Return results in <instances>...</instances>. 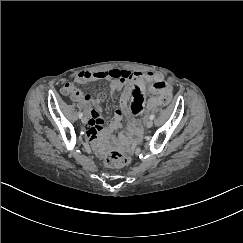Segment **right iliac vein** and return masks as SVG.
Instances as JSON below:
<instances>
[{"label": "right iliac vein", "instance_id": "right-iliac-vein-1", "mask_svg": "<svg viewBox=\"0 0 243 243\" xmlns=\"http://www.w3.org/2000/svg\"><path fill=\"white\" fill-rule=\"evenodd\" d=\"M81 122H82L83 124H86V123H87V119H86V117H83V118L81 119Z\"/></svg>", "mask_w": 243, "mask_h": 243}]
</instances>
